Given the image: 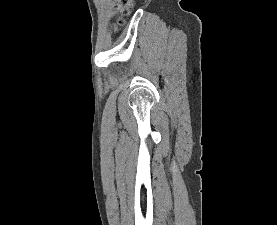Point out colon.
Returning <instances> with one entry per match:
<instances>
[{"label": "colon", "instance_id": "colon-1", "mask_svg": "<svg viewBox=\"0 0 277 225\" xmlns=\"http://www.w3.org/2000/svg\"><path fill=\"white\" fill-rule=\"evenodd\" d=\"M133 4V0H121L119 4V12L121 14L120 18L118 19L117 24L122 25L124 23V17L129 15L131 11V7Z\"/></svg>", "mask_w": 277, "mask_h": 225}]
</instances>
